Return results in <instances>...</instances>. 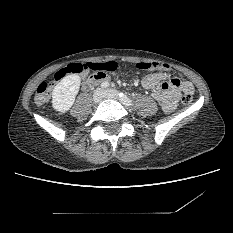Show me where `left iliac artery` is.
<instances>
[{"mask_svg":"<svg viewBox=\"0 0 233 233\" xmlns=\"http://www.w3.org/2000/svg\"><path fill=\"white\" fill-rule=\"evenodd\" d=\"M120 99L126 104V105H132V100L128 98L124 93L119 94Z\"/></svg>","mask_w":233,"mask_h":233,"instance_id":"1","label":"left iliac artery"}]
</instances>
